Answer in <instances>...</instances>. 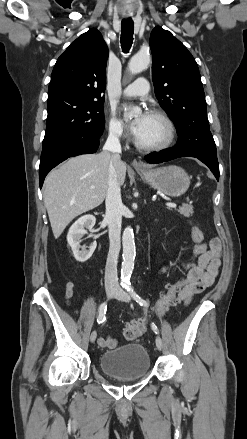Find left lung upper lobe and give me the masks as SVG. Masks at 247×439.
Masks as SVG:
<instances>
[{"instance_id":"obj_1","label":"left lung upper lobe","mask_w":247,"mask_h":439,"mask_svg":"<svg viewBox=\"0 0 247 439\" xmlns=\"http://www.w3.org/2000/svg\"><path fill=\"white\" fill-rule=\"evenodd\" d=\"M150 48L155 95L176 126L179 136L176 146L210 169L219 170L195 59L178 39L160 26L152 30Z\"/></svg>"}]
</instances>
